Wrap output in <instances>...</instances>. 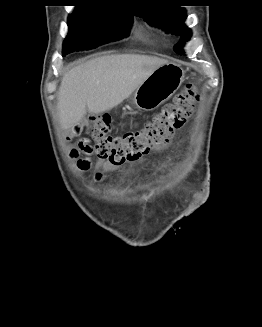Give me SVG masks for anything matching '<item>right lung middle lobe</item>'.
Masks as SVG:
<instances>
[{
    "label": "right lung middle lobe",
    "instance_id": "obj_1",
    "mask_svg": "<svg viewBox=\"0 0 262 327\" xmlns=\"http://www.w3.org/2000/svg\"><path fill=\"white\" fill-rule=\"evenodd\" d=\"M132 14L93 8H75L69 15V33L63 56L75 50H88L128 35Z\"/></svg>",
    "mask_w": 262,
    "mask_h": 327
}]
</instances>
